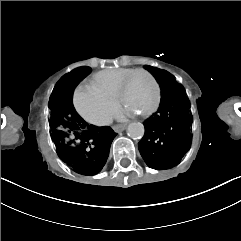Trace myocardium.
I'll list each match as a JSON object with an SVG mask.
<instances>
[{
  "label": "myocardium",
  "mask_w": 241,
  "mask_h": 241,
  "mask_svg": "<svg viewBox=\"0 0 241 241\" xmlns=\"http://www.w3.org/2000/svg\"><path fill=\"white\" fill-rule=\"evenodd\" d=\"M145 74V78L148 79V82L150 84L154 85V91H158L156 93V96H154V101L152 102V105L149 107V109H146V111H142V117H147V114H151V112H154L158 106L159 99H161V95H163V88L161 87V82H158V80H155L154 77H151V74L148 73L146 70L142 68H137L133 70L127 71V73L123 74L122 78H120L119 83L116 85V97L118 101L123 102L126 98L123 96V91L125 86L129 83L130 80L135 79L137 77H142Z\"/></svg>",
  "instance_id": "myocardium-1"
}]
</instances>
